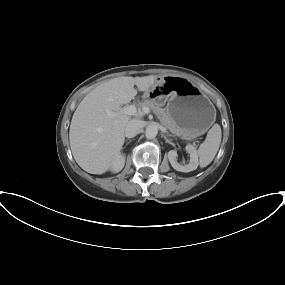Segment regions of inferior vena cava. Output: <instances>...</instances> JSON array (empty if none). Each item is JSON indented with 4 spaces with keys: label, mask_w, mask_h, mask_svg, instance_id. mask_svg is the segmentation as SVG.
Masks as SVG:
<instances>
[{
    "label": "inferior vena cava",
    "mask_w": 285,
    "mask_h": 285,
    "mask_svg": "<svg viewBox=\"0 0 285 285\" xmlns=\"http://www.w3.org/2000/svg\"><path fill=\"white\" fill-rule=\"evenodd\" d=\"M143 128V122L141 120L132 119L125 127V136L127 138H133L141 132Z\"/></svg>",
    "instance_id": "1"
}]
</instances>
